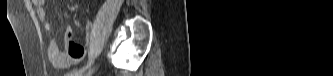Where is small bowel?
Wrapping results in <instances>:
<instances>
[{
  "label": "small bowel",
  "instance_id": "c3829d8e",
  "mask_svg": "<svg viewBox=\"0 0 333 76\" xmlns=\"http://www.w3.org/2000/svg\"><path fill=\"white\" fill-rule=\"evenodd\" d=\"M37 8L38 18L44 22L46 30H51L52 26L48 21V10L45 7L44 0H33L32 1ZM92 27L91 21L85 18V29L90 32ZM66 50L62 51L58 42L55 39H51L48 46V55L51 63L57 68H68L73 64L77 63L83 56L84 47L73 41L72 35L69 29H66Z\"/></svg>",
  "mask_w": 333,
  "mask_h": 76
}]
</instances>
